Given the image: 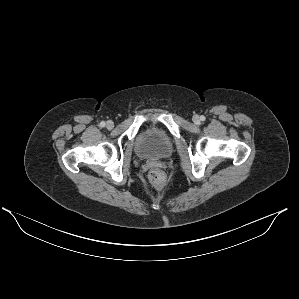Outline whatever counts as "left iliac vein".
I'll return each mask as SVG.
<instances>
[{"instance_id":"4c4485c4","label":"left iliac vein","mask_w":299,"mask_h":299,"mask_svg":"<svg viewBox=\"0 0 299 299\" xmlns=\"http://www.w3.org/2000/svg\"><path fill=\"white\" fill-rule=\"evenodd\" d=\"M193 121L194 123L198 124L199 123V117L197 115L193 116Z\"/></svg>"}]
</instances>
